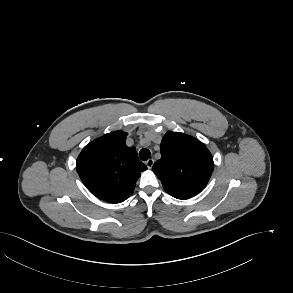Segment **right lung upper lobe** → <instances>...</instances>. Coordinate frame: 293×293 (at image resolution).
I'll use <instances>...</instances> for the list:
<instances>
[{
  "instance_id": "1",
  "label": "right lung upper lobe",
  "mask_w": 293,
  "mask_h": 293,
  "mask_svg": "<svg viewBox=\"0 0 293 293\" xmlns=\"http://www.w3.org/2000/svg\"><path fill=\"white\" fill-rule=\"evenodd\" d=\"M126 136L123 131L105 134L85 146L77 158L76 170L84 185L109 203L126 200L147 169L136 149L125 144Z\"/></svg>"
}]
</instances>
